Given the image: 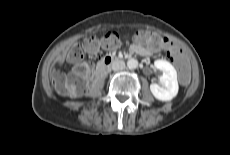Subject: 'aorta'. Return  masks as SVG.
<instances>
[{
  "label": "aorta",
  "instance_id": "aorta-1",
  "mask_svg": "<svg viewBox=\"0 0 230 155\" xmlns=\"http://www.w3.org/2000/svg\"><path fill=\"white\" fill-rule=\"evenodd\" d=\"M127 67L129 69H136L138 67V61L134 58H131L127 61Z\"/></svg>",
  "mask_w": 230,
  "mask_h": 155
}]
</instances>
